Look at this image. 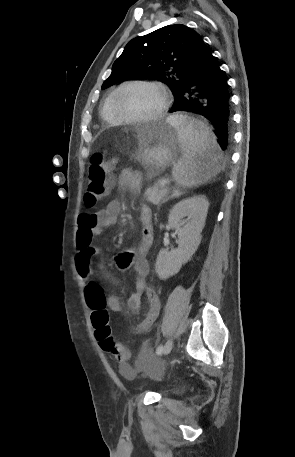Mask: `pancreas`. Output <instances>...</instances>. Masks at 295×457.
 Segmentation results:
<instances>
[{
	"mask_svg": "<svg viewBox=\"0 0 295 457\" xmlns=\"http://www.w3.org/2000/svg\"><path fill=\"white\" fill-rule=\"evenodd\" d=\"M167 194L168 187L161 186L160 181H158L157 183H155L153 187H150L147 190H145L144 197L147 201L158 205L167 199Z\"/></svg>",
	"mask_w": 295,
	"mask_h": 457,
	"instance_id": "obj_1",
	"label": "pancreas"
}]
</instances>
